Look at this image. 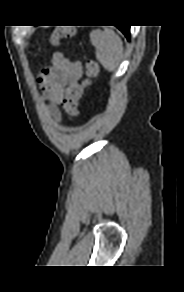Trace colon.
<instances>
[{"instance_id": "5ec220e1", "label": "colon", "mask_w": 184, "mask_h": 292, "mask_svg": "<svg viewBox=\"0 0 184 292\" xmlns=\"http://www.w3.org/2000/svg\"><path fill=\"white\" fill-rule=\"evenodd\" d=\"M73 29L68 26L58 27L52 34L53 43H58L60 40L70 36ZM87 79L80 83H74L66 89L65 97L63 99V107L65 111L72 116H79L81 110L79 103L84 93V90L91 85L92 80L99 74V66L94 60H88L86 64Z\"/></svg>"}]
</instances>
